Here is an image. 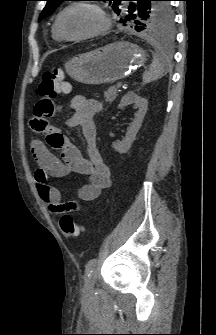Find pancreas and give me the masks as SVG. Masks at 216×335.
Here are the masks:
<instances>
[{
	"instance_id": "obj_1",
	"label": "pancreas",
	"mask_w": 216,
	"mask_h": 335,
	"mask_svg": "<svg viewBox=\"0 0 216 335\" xmlns=\"http://www.w3.org/2000/svg\"><path fill=\"white\" fill-rule=\"evenodd\" d=\"M118 95L116 86H111L107 91L104 92L105 101L112 103Z\"/></svg>"
}]
</instances>
